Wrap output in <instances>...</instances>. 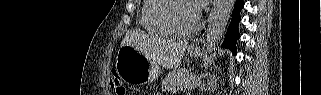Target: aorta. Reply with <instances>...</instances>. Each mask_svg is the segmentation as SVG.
<instances>
[{
  "label": "aorta",
  "instance_id": "aorta-1",
  "mask_svg": "<svg viewBox=\"0 0 321 95\" xmlns=\"http://www.w3.org/2000/svg\"><path fill=\"white\" fill-rule=\"evenodd\" d=\"M234 3L235 0H214L206 30V47L209 53L216 49L222 39Z\"/></svg>",
  "mask_w": 321,
  "mask_h": 95
}]
</instances>
